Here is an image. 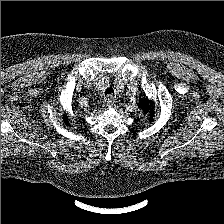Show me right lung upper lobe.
<instances>
[{"label":"right lung upper lobe","instance_id":"right-lung-upper-lobe-1","mask_svg":"<svg viewBox=\"0 0 224 224\" xmlns=\"http://www.w3.org/2000/svg\"><path fill=\"white\" fill-rule=\"evenodd\" d=\"M64 121L67 122L66 124H69L66 117H64Z\"/></svg>","mask_w":224,"mask_h":224}]
</instances>
